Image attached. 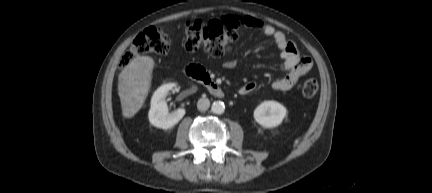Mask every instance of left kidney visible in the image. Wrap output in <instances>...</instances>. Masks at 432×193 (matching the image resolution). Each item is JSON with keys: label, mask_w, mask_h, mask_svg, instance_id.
Listing matches in <instances>:
<instances>
[{"label": "left kidney", "mask_w": 432, "mask_h": 193, "mask_svg": "<svg viewBox=\"0 0 432 193\" xmlns=\"http://www.w3.org/2000/svg\"><path fill=\"white\" fill-rule=\"evenodd\" d=\"M286 113V108L279 102L264 101L254 110V119L265 128H273L282 123Z\"/></svg>", "instance_id": "obj_1"}]
</instances>
